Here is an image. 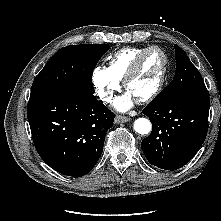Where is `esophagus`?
<instances>
[{
    "label": "esophagus",
    "mask_w": 221,
    "mask_h": 221,
    "mask_svg": "<svg viewBox=\"0 0 221 221\" xmlns=\"http://www.w3.org/2000/svg\"><path fill=\"white\" fill-rule=\"evenodd\" d=\"M130 120V118L129 117H126V116H122V115H117L116 117H115V122L116 123H125V122H128Z\"/></svg>",
    "instance_id": "obj_1"
}]
</instances>
